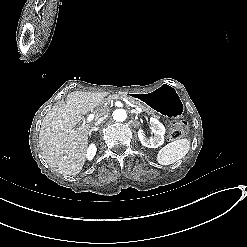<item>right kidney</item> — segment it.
Listing matches in <instances>:
<instances>
[{"mask_svg": "<svg viewBox=\"0 0 247 247\" xmlns=\"http://www.w3.org/2000/svg\"><path fill=\"white\" fill-rule=\"evenodd\" d=\"M96 152H97V147L94 143H91L89 145V147L87 148V151H86V158L88 160H92L94 158V156L96 155Z\"/></svg>", "mask_w": 247, "mask_h": 247, "instance_id": "ca27d5eb", "label": "right kidney"}]
</instances>
